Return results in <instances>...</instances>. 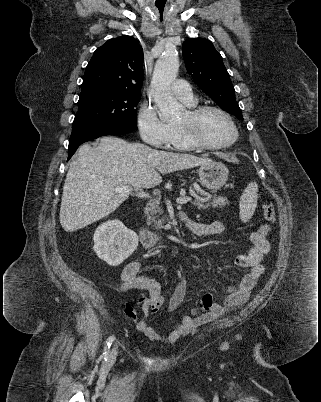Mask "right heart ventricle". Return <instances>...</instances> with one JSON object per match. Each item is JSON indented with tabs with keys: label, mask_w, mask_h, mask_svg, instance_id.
Instances as JSON below:
<instances>
[{
	"label": "right heart ventricle",
	"mask_w": 321,
	"mask_h": 402,
	"mask_svg": "<svg viewBox=\"0 0 321 402\" xmlns=\"http://www.w3.org/2000/svg\"><path fill=\"white\" fill-rule=\"evenodd\" d=\"M196 102L192 103V104H187L190 108L195 107L196 106ZM170 129H171V137H170V141H169V146H171L172 148L176 149V150H181V151H190V150H195L196 147L193 146L192 144H190L186 138L184 137V135L182 134V132L180 131V129L178 128L177 125H170Z\"/></svg>",
	"instance_id": "e07e8e85"
}]
</instances>
